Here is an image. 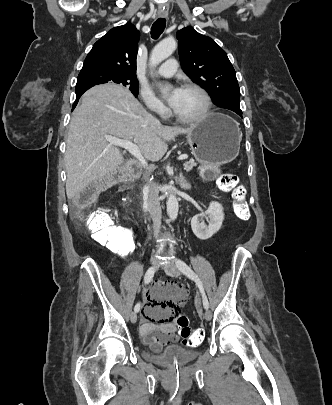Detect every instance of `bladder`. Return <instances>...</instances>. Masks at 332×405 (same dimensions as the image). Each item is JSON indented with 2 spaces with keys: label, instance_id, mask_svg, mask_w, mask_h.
<instances>
[{
  "label": "bladder",
  "instance_id": "31cf9c89",
  "mask_svg": "<svg viewBox=\"0 0 332 405\" xmlns=\"http://www.w3.org/2000/svg\"><path fill=\"white\" fill-rule=\"evenodd\" d=\"M145 349L141 357L149 362L166 366H182L194 361L200 354L197 350L185 349L175 344H149L143 340Z\"/></svg>",
  "mask_w": 332,
  "mask_h": 405
}]
</instances>
